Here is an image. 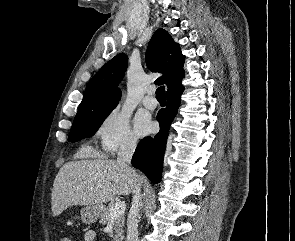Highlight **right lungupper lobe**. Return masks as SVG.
Instances as JSON below:
<instances>
[{"instance_id": "right-lung-upper-lobe-1", "label": "right lung upper lobe", "mask_w": 295, "mask_h": 241, "mask_svg": "<svg viewBox=\"0 0 295 241\" xmlns=\"http://www.w3.org/2000/svg\"><path fill=\"white\" fill-rule=\"evenodd\" d=\"M127 56L120 53L108 61L89 81L79 109L118 102L121 91L116 88L127 67ZM146 63L153 72H162L156 82L166 84L168 89L181 84L184 77V56L164 29H158L149 42Z\"/></svg>"}]
</instances>
